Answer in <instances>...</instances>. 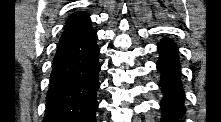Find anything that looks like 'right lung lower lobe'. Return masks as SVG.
Masks as SVG:
<instances>
[{"mask_svg":"<svg viewBox=\"0 0 221 122\" xmlns=\"http://www.w3.org/2000/svg\"><path fill=\"white\" fill-rule=\"evenodd\" d=\"M91 21L64 33L53 60L43 122H96L99 47Z\"/></svg>","mask_w":221,"mask_h":122,"instance_id":"right-lung-lower-lobe-1","label":"right lung lower lobe"}]
</instances>
